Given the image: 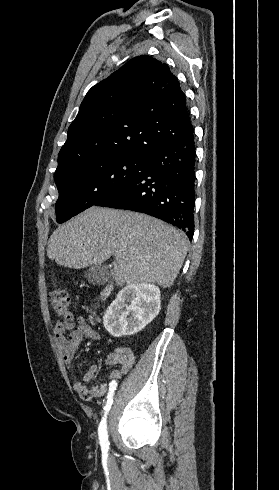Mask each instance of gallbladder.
Segmentation results:
<instances>
[{"label":"gallbladder","instance_id":"obj_1","mask_svg":"<svg viewBox=\"0 0 279 490\" xmlns=\"http://www.w3.org/2000/svg\"><path fill=\"white\" fill-rule=\"evenodd\" d=\"M111 276L110 268L107 266H90L85 272V278H87L89 284H106Z\"/></svg>","mask_w":279,"mask_h":490}]
</instances>
